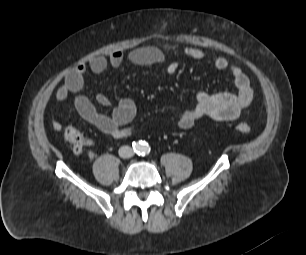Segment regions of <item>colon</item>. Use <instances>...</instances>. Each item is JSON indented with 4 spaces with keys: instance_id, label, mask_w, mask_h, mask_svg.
Listing matches in <instances>:
<instances>
[{
    "instance_id": "obj_1",
    "label": "colon",
    "mask_w": 306,
    "mask_h": 255,
    "mask_svg": "<svg viewBox=\"0 0 306 255\" xmlns=\"http://www.w3.org/2000/svg\"><path fill=\"white\" fill-rule=\"evenodd\" d=\"M235 130L242 134H249L251 127L245 122H240L235 125ZM65 140L72 146L73 152L76 155H82L87 146V140L83 134L74 127H67L64 131Z\"/></svg>"
}]
</instances>
